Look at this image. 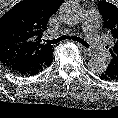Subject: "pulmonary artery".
I'll list each match as a JSON object with an SVG mask.
<instances>
[{
	"label": "pulmonary artery",
	"mask_w": 118,
	"mask_h": 118,
	"mask_svg": "<svg viewBox=\"0 0 118 118\" xmlns=\"http://www.w3.org/2000/svg\"><path fill=\"white\" fill-rule=\"evenodd\" d=\"M99 23V14L96 10L91 9L83 15V28L87 33L89 42L94 51L103 57H108V53L103 46L101 38L97 34V27Z\"/></svg>",
	"instance_id": "e3ab8cb5"
}]
</instances>
